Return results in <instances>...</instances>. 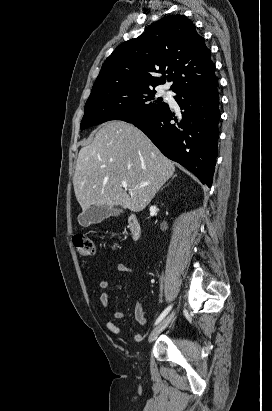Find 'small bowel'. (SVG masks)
Here are the masks:
<instances>
[{
  "mask_svg": "<svg viewBox=\"0 0 272 411\" xmlns=\"http://www.w3.org/2000/svg\"><path fill=\"white\" fill-rule=\"evenodd\" d=\"M117 271L120 273H126V272H135V269L128 267L124 264H119L117 266ZM110 285V281L109 280H102L99 283V286L102 290H106ZM100 302L101 305L104 309H107L109 306V299H108V294L105 291H102L100 294ZM134 315H135V319L137 321V323L144 327L147 324V319L144 315V311H143V307L140 303H136L134 306ZM113 317L116 320H125L126 315L125 313L121 312V311H116L113 314ZM106 328L113 334L115 335H119L121 333V329L120 327L113 321H108L106 323ZM135 342H141L143 340V335L141 333H136L133 337Z\"/></svg>",
  "mask_w": 272,
  "mask_h": 411,
  "instance_id": "1",
  "label": "small bowel"
}]
</instances>
